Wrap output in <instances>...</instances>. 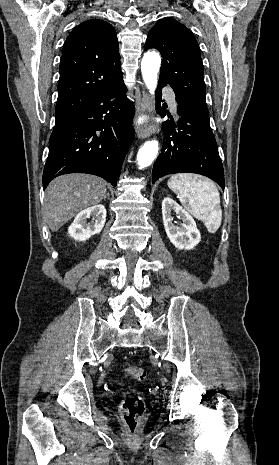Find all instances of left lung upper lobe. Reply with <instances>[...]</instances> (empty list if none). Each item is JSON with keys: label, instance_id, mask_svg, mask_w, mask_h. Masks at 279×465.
Masks as SVG:
<instances>
[{"label": "left lung upper lobe", "instance_id": "left-lung-upper-lobe-1", "mask_svg": "<svg viewBox=\"0 0 279 465\" xmlns=\"http://www.w3.org/2000/svg\"><path fill=\"white\" fill-rule=\"evenodd\" d=\"M150 48L161 52L159 81L173 88L177 103L209 120L203 63L193 33L176 20L164 18L148 33L144 49Z\"/></svg>", "mask_w": 279, "mask_h": 465}]
</instances>
